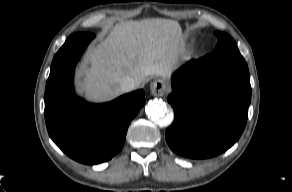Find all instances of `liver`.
<instances>
[{"label": "liver", "instance_id": "obj_1", "mask_svg": "<svg viewBox=\"0 0 292 192\" xmlns=\"http://www.w3.org/2000/svg\"><path fill=\"white\" fill-rule=\"evenodd\" d=\"M185 43L177 21L161 18L123 21L91 48L79 68L80 88L93 101L113 99L124 91L127 76L140 87L148 76L169 77L179 65Z\"/></svg>", "mask_w": 292, "mask_h": 192}]
</instances>
